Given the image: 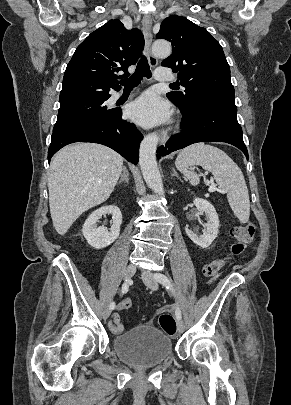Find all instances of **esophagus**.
<instances>
[{"mask_svg":"<svg viewBox=\"0 0 291 405\" xmlns=\"http://www.w3.org/2000/svg\"><path fill=\"white\" fill-rule=\"evenodd\" d=\"M142 25H143V30L145 34V50L146 54L148 56V60L150 63V66L155 68L158 65V59L153 55L152 50H151V44L153 40V35H152V17L150 14H145L142 19ZM168 140V133L166 130H162L160 132V142L161 144H165Z\"/></svg>","mask_w":291,"mask_h":405,"instance_id":"obj_1","label":"esophagus"}]
</instances>
